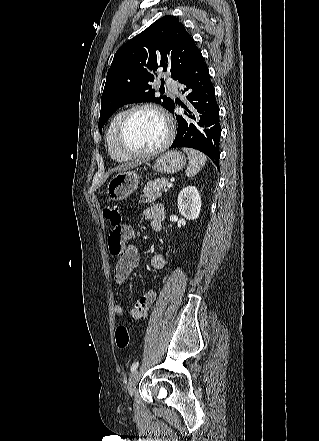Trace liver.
<instances>
[{
  "mask_svg": "<svg viewBox=\"0 0 319 441\" xmlns=\"http://www.w3.org/2000/svg\"><path fill=\"white\" fill-rule=\"evenodd\" d=\"M138 165H139V163H135V162L125 163V164H122V165L116 167L115 171L121 172V171H124V170H129L131 168L137 167Z\"/></svg>",
  "mask_w": 319,
  "mask_h": 441,
  "instance_id": "1",
  "label": "liver"
}]
</instances>
